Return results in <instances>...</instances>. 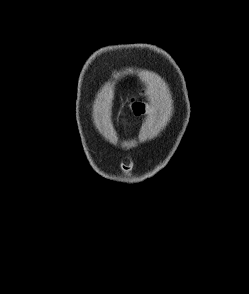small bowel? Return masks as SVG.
I'll return each mask as SVG.
<instances>
[{
  "label": "small bowel",
  "mask_w": 249,
  "mask_h": 294,
  "mask_svg": "<svg viewBox=\"0 0 249 294\" xmlns=\"http://www.w3.org/2000/svg\"><path fill=\"white\" fill-rule=\"evenodd\" d=\"M143 111V107L142 106H135L134 107V112L136 114H140Z\"/></svg>",
  "instance_id": "1"
}]
</instances>
